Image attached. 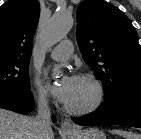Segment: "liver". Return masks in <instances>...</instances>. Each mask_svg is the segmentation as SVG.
Listing matches in <instances>:
<instances>
[{
	"label": "liver",
	"instance_id": "6515ba94",
	"mask_svg": "<svg viewBox=\"0 0 141 139\" xmlns=\"http://www.w3.org/2000/svg\"><path fill=\"white\" fill-rule=\"evenodd\" d=\"M34 117L0 109V139H33ZM47 139H54L53 132Z\"/></svg>",
	"mask_w": 141,
	"mask_h": 139
}]
</instances>
